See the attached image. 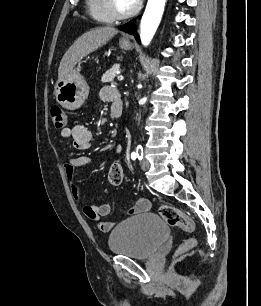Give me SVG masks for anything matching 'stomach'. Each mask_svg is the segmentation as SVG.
<instances>
[{
    "instance_id": "stomach-1",
    "label": "stomach",
    "mask_w": 261,
    "mask_h": 306,
    "mask_svg": "<svg viewBox=\"0 0 261 306\" xmlns=\"http://www.w3.org/2000/svg\"><path fill=\"white\" fill-rule=\"evenodd\" d=\"M119 45L123 50L132 49V43L128 40L121 39ZM80 71L81 67L77 66L64 79L58 80L56 83V101L65 109L80 108L89 95V86Z\"/></svg>"
}]
</instances>
